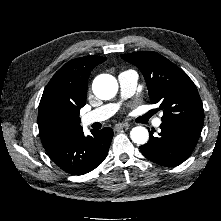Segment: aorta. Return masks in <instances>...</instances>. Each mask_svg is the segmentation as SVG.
<instances>
[{"label":"aorta","instance_id":"762f6f07","mask_svg":"<svg viewBox=\"0 0 221 221\" xmlns=\"http://www.w3.org/2000/svg\"><path fill=\"white\" fill-rule=\"evenodd\" d=\"M94 94L103 100L113 98L118 90L117 80L109 74L97 76L92 84ZM131 140L136 144H145L149 139L148 130L145 127H134L130 132Z\"/></svg>","mask_w":221,"mask_h":221}]
</instances>
